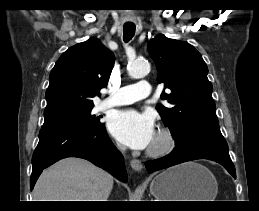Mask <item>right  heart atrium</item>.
<instances>
[{
    "label": "right heart atrium",
    "instance_id": "1",
    "mask_svg": "<svg viewBox=\"0 0 259 211\" xmlns=\"http://www.w3.org/2000/svg\"><path fill=\"white\" fill-rule=\"evenodd\" d=\"M118 148H119V149H122V147H121L120 145H118Z\"/></svg>",
    "mask_w": 259,
    "mask_h": 211
}]
</instances>
